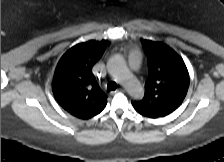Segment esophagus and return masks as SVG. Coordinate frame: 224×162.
<instances>
[{
  "instance_id": "1",
  "label": "esophagus",
  "mask_w": 224,
  "mask_h": 162,
  "mask_svg": "<svg viewBox=\"0 0 224 162\" xmlns=\"http://www.w3.org/2000/svg\"><path fill=\"white\" fill-rule=\"evenodd\" d=\"M123 91H124V89L120 88V89H118V90L112 91L110 94H111V95H114V94H116V93H118V92H123Z\"/></svg>"
}]
</instances>
